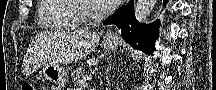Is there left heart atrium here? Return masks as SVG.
I'll use <instances>...</instances> for the list:
<instances>
[{
	"label": "left heart atrium",
	"instance_id": "left-heart-atrium-1",
	"mask_svg": "<svg viewBox=\"0 0 216 90\" xmlns=\"http://www.w3.org/2000/svg\"><path fill=\"white\" fill-rule=\"evenodd\" d=\"M102 10H115L123 0H97Z\"/></svg>",
	"mask_w": 216,
	"mask_h": 90
}]
</instances>
